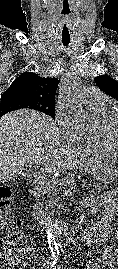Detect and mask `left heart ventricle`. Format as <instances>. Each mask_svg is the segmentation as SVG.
<instances>
[{
	"label": "left heart ventricle",
	"mask_w": 118,
	"mask_h": 269,
	"mask_svg": "<svg viewBox=\"0 0 118 269\" xmlns=\"http://www.w3.org/2000/svg\"><path fill=\"white\" fill-rule=\"evenodd\" d=\"M112 135L115 138V140L118 142V121L115 123L113 127Z\"/></svg>",
	"instance_id": "obj_1"
}]
</instances>
